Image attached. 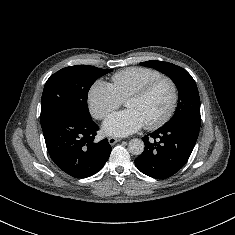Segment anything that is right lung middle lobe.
Segmentation results:
<instances>
[{
  "label": "right lung middle lobe",
  "instance_id": "dd1d6c3e",
  "mask_svg": "<svg viewBox=\"0 0 235 235\" xmlns=\"http://www.w3.org/2000/svg\"><path fill=\"white\" fill-rule=\"evenodd\" d=\"M111 71L112 69L76 65L63 68L50 76L41 98V126L63 114L91 118L87 106L88 91L99 77Z\"/></svg>",
  "mask_w": 235,
  "mask_h": 235
}]
</instances>
